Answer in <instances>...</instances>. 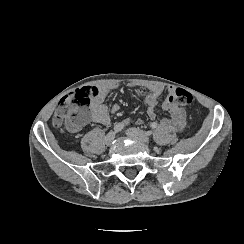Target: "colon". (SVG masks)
Listing matches in <instances>:
<instances>
[{
  "instance_id": "1",
  "label": "colon",
  "mask_w": 244,
  "mask_h": 244,
  "mask_svg": "<svg viewBox=\"0 0 244 244\" xmlns=\"http://www.w3.org/2000/svg\"><path fill=\"white\" fill-rule=\"evenodd\" d=\"M100 90L90 83H83L78 90H72L67 97L57 106L53 122L55 126L65 124L70 133H77L92 119L89 104L98 100ZM67 99V101H66ZM169 102L175 105L190 106L193 103V95L185 88L178 87L169 96Z\"/></svg>"
}]
</instances>
